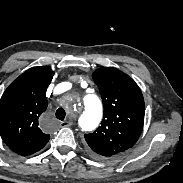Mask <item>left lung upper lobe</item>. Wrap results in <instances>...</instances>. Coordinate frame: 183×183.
Instances as JSON below:
<instances>
[{"instance_id":"left-lung-upper-lobe-1","label":"left lung upper lobe","mask_w":183,"mask_h":183,"mask_svg":"<svg viewBox=\"0 0 183 183\" xmlns=\"http://www.w3.org/2000/svg\"><path fill=\"white\" fill-rule=\"evenodd\" d=\"M104 107L103 120L93 133L85 134L89 150L99 157H112L131 148L144 123V99L128 75L113 67L92 74Z\"/></svg>"}]
</instances>
